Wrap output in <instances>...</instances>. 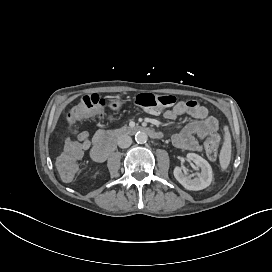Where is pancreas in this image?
Masks as SVG:
<instances>
[{"instance_id":"1","label":"pancreas","mask_w":272,"mask_h":272,"mask_svg":"<svg viewBox=\"0 0 272 272\" xmlns=\"http://www.w3.org/2000/svg\"><path fill=\"white\" fill-rule=\"evenodd\" d=\"M126 128H127V127H126V126H124V127H122L121 129H122V130H125Z\"/></svg>"}]
</instances>
